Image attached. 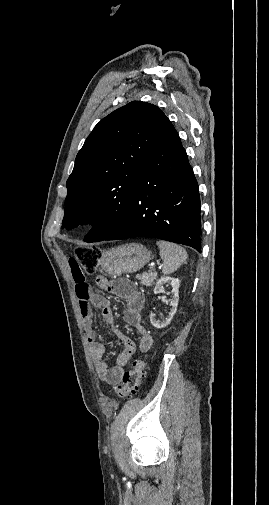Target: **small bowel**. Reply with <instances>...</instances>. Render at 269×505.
<instances>
[{"label":"small bowel","instance_id":"1","mask_svg":"<svg viewBox=\"0 0 269 505\" xmlns=\"http://www.w3.org/2000/svg\"><path fill=\"white\" fill-rule=\"evenodd\" d=\"M79 265V261L75 259L69 262L90 352L99 378L106 384L116 385L126 372V366L136 351V345L128 336L114 327V316L109 301L100 295L91 294L87 279H94L97 276V271L94 274H85ZM96 283L100 288L126 301L127 307L123 311L122 317L129 326L141 334L139 350L141 352L148 351L152 347L153 337L142 324L141 313L145 302L144 295L128 279L110 282L105 277L98 276ZM90 303L101 310L104 321L123 347L118 356L117 365L114 367H109L103 360L106 347L98 340L97 333L93 328V312Z\"/></svg>","mask_w":269,"mask_h":505}]
</instances>
